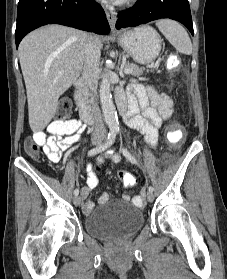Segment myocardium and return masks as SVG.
I'll list each match as a JSON object with an SVG mask.
<instances>
[{
	"label": "myocardium",
	"mask_w": 227,
	"mask_h": 279,
	"mask_svg": "<svg viewBox=\"0 0 227 279\" xmlns=\"http://www.w3.org/2000/svg\"><path fill=\"white\" fill-rule=\"evenodd\" d=\"M126 4L132 5L134 4L137 0H124Z\"/></svg>",
	"instance_id": "obj_1"
}]
</instances>
